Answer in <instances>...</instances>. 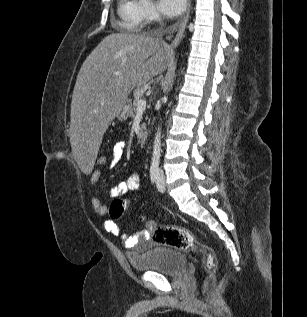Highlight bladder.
I'll return each instance as SVG.
<instances>
[{"label": "bladder", "mask_w": 307, "mask_h": 317, "mask_svg": "<svg viewBox=\"0 0 307 317\" xmlns=\"http://www.w3.org/2000/svg\"><path fill=\"white\" fill-rule=\"evenodd\" d=\"M134 271L157 272L164 275L177 276L185 269L186 256L175 249L155 247L141 256L128 255Z\"/></svg>", "instance_id": "1"}]
</instances>
